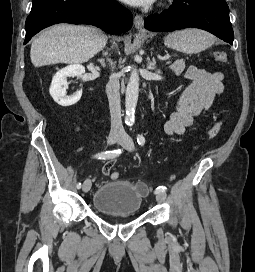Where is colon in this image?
I'll use <instances>...</instances> for the list:
<instances>
[{"label": "colon", "mask_w": 255, "mask_h": 272, "mask_svg": "<svg viewBox=\"0 0 255 272\" xmlns=\"http://www.w3.org/2000/svg\"><path fill=\"white\" fill-rule=\"evenodd\" d=\"M213 57H214L215 61H217L218 63H221V64L227 63V60H228L227 53L223 50H218V51L214 52ZM220 130H221V123L215 122L208 130V133H207L208 140L211 141V140L215 139L217 137V135L219 134ZM118 178H119L118 172L111 173L112 180H117ZM139 186L141 189V193L147 192V188L144 185L140 184Z\"/></svg>", "instance_id": "5ec220e1"}]
</instances>
